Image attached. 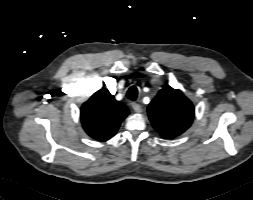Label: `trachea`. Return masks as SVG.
I'll return each instance as SVG.
<instances>
[{
  "label": "trachea",
  "mask_w": 253,
  "mask_h": 200,
  "mask_svg": "<svg viewBox=\"0 0 253 200\" xmlns=\"http://www.w3.org/2000/svg\"><path fill=\"white\" fill-rule=\"evenodd\" d=\"M137 95L138 89L136 86H131L126 93V97L132 101H135L137 99Z\"/></svg>",
  "instance_id": "trachea-1"
}]
</instances>
